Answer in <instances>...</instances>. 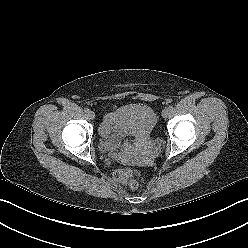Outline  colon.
<instances>
[{"label":"colon","instance_id":"obj_1","mask_svg":"<svg viewBox=\"0 0 248 248\" xmlns=\"http://www.w3.org/2000/svg\"><path fill=\"white\" fill-rule=\"evenodd\" d=\"M136 171L132 168H120L113 173L114 180L132 189L139 187L140 182L135 179Z\"/></svg>","mask_w":248,"mask_h":248}]
</instances>
